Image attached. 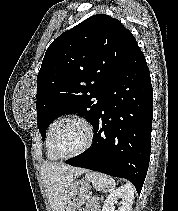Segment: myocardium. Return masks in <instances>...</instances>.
<instances>
[{"label":"myocardium","instance_id":"obj_1","mask_svg":"<svg viewBox=\"0 0 178 211\" xmlns=\"http://www.w3.org/2000/svg\"><path fill=\"white\" fill-rule=\"evenodd\" d=\"M68 122H77L82 124L87 132V138H86V142L84 144V146L76 153L71 154V155H61L58 153L57 148H56V139H57V135L60 131V129ZM93 138H94V131H93V127L91 125V123L84 117L79 116V115H70L67 116L66 118H64L56 127L54 133H53V137H52V150L54 152V154L56 155V157L58 159H70V158H74L77 157L83 153H85L92 145L93 143Z\"/></svg>","mask_w":178,"mask_h":211}]
</instances>
